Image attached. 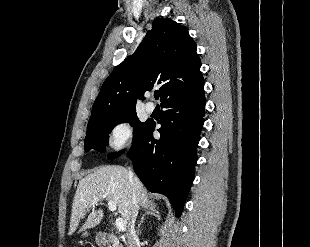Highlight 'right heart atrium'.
Returning a JSON list of instances; mask_svg holds the SVG:
<instances>
[{
  "mask_svg": "<svg viewBox=\"0 0 310 247\" xmlns=\"http://www.w3.org/2000/svg\"><path fill=\"white\" fill-rule=\"evenodd\" d=\"M133 134L132 126L127 121L116 123L107 135V145L112 150H121L125 148L131 141Z\"/></svg>",
  "mask_w": 310,
  "mask_h": 247,
  "instance_id": "d8ad5b80",
  "label": "right heart atrium"
}]
</instances>
